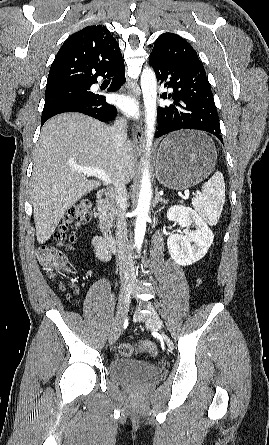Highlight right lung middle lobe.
<instances>
[{"label": "right lung middle lobe", "instance_id": "right-lung-middle-lobe-1", "mask_svg": "<svg viewBox=\"0 0 269 445\" xmlns=\"http://www.w3.org/2000/svg\"><path fill=\"white\" fill-rule=\"evenodd\" d=\"M91 85L92 83L47 88L41 123L47 121L63 107L82 104L93 98L95 94L88 91Z\"/></svg>", "mask_w": 269, "mask_h": 445}]
</instances>
